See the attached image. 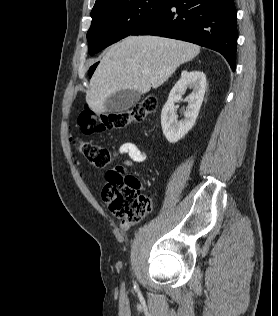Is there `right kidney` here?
<instances>
[{
	"mask_svg": "<svg viewBox=\"0 0 278 316\" xmlns=\"http://www.w3.org/2000/svg\"><path fill=\"white\" fill-rule=\"evenodd\" d=\"M187 88L193 91L187 97L189 104L184 114L185 118L178 122L174 102L182 98ZM205 89L206 76L203 72L185 70L181 73V78L170 91L161 113L163 134L170 143L182 139L194 126L204 99Z\"/></svg>",
	"mask_w": 278,
	"mask_h": 316,
	"instance_id": "obj_1",
	"label": "right kidney"
}]
</instances>
